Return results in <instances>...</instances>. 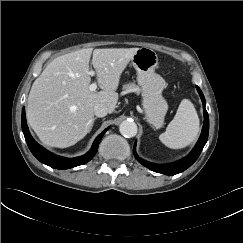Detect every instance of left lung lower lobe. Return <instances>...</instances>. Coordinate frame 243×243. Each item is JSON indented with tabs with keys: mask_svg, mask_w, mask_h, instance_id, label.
Listing matches in <instances>:
<instances>
[{
	"mask_svg": "<svg viewBox=\"0 0 243 243\" xmlns=\"http://www.w3.org/2000/svg\"><path fill=\"white\" fill-rule=\"evenodd\" d=\"M197 90H198L201 100L203 102L204 125H203L201 136H200L196 146L192 150V152L187 157H185L177 162H174L171 164H166V165H156V164H153V163H150L143 159L138 158V156L135 154V146H136V144H135L133 152L135 154L137 161H139L142 165H144L145 167L149 168L150 170L158 172V173H162V174H166V175H175V174L181 173L184 170H186L187 168H189L197 160L201 151L203 150V147L205 146V144L207 142L208 133H209V117H208V113L205 109V103H206L205 98L199 87H197Z\"/></svg>",
	"mask_w": 243,
	"mask_h": 243,
	"instance_id": "obj_1",
	"label": "left lung lower lobe"
}]
</instances>
